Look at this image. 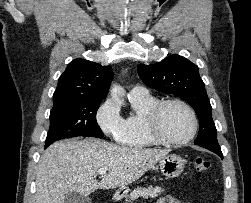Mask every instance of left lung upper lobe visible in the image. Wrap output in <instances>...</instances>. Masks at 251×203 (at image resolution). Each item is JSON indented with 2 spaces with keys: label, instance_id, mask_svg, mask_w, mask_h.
I'll return each instance as SVG.
<instances>
[{
  "label": "left lung upper lobe",
  "instance_id": "1",
  "mask_svg": "<svg viewBox=\"0 0 251 203\" xmlns=\"http://www.w3.org/2000/svg\"><path fill=\"white\" fill-rule=\"evenodd\" d=\"M137 71L144 84L150 88L178 96L193 107L200 125L195 144L209 150H220L212 107L197 65L173 54L159 63L139 64Z\"/></svg>",
  "mask_w": 251,
  "mask_h": 203
}]
</instances>
